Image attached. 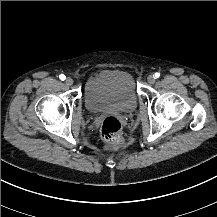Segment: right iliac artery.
I'll return each instance as SVG.
<instances>
[{"instance_id": "obj_1", "label": "right iliac artery", "mask_w": 217, "mask_h": 217, "mask_svg": "<svg viewBox=\"0 0 217 217\" xmlns=\"http://www.w3.org/2000/svg\"><path fill=\"white\" fill-rule=\"evenodd\" d=\"M59 78H60L62 81H64L65 78H66V76H65L64 74H61V75H59Z\"/></svg>"}]
</instances>
